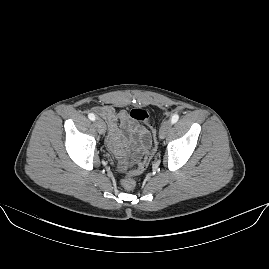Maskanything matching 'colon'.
<instances>
[{"label": "colon", "mask_w": 269, "mask_h": 269, "mask_svg": "<svg viewBox=\"0 0 269 269\" xmlns=\"http://www.w3.org/2000/svg\"><path fill=\"white\" fill-rule=\"evenodd\" d=\"M130 116L135 121H140L149 125L150 127L154 126L155 119L147 109L140 107L132 108L130 111ZM145 143L147 144V148L142 152V158L138 163V167L129 170L121 180V185L125 190L131 191L136 187V175L146 170L153 154L155 153L156 134L154 130L151 129L150 134L145 139Z\"/></svg>", "instance_id": "colon-1"}]
</instances>
